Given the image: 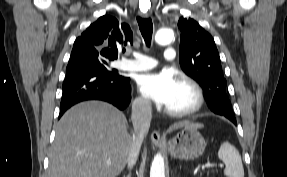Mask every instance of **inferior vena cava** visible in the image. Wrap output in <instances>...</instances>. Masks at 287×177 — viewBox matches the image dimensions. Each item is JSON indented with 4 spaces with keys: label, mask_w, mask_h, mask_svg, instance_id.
<instances>
[{
    "label": "inferior vena cava",
    "mask_w": 287,
    "mask_h": 177,
    "mask_svg": "<svg viewBox=\"0 0 287 177\" xmlns=\"http://www.w3.org/2000/svg\"><path fill=\"white\" fill-rule=\"evenodd\" d=\"M151 118V101L149 99L142 98L135 100L132 104V144L127 160V166L129 169H131L137 161L142 142L150 128Z\"/></svg>",
    "instance_id": "obj_1"
}]
</instances>
